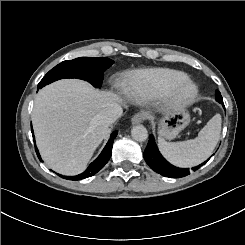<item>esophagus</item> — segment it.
<instances>
[{
  "label": "esophagus",
  "instance_id": "1",
  "mask_svg": "<svg viewBox=\"0 0 245 245\" xmlns=\"http://www.w3.org/2000/svg\"><path fill=\"white\" fill-rule=\"evenodd\" d=\"M146 119V115L144 113H137L131 119V123L133 125L140 124Z\"/></svg>",
  "mask_w": 245,
  "mask_h": 245
}]
</instances>
